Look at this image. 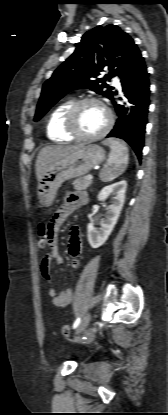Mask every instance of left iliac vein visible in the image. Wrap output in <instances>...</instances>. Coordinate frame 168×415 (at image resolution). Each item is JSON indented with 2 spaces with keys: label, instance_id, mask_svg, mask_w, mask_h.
<instances>
[{
  "label": "left iliac vein",
  "instance_id": "obj_1",
  "mask_svg": "<svg viewBox=\"0 0 168 415\" xmlns=\"http://www.w3.org/2000/svg\"><path fill=\"white\" fill-rule=\"evenodd\" d=\"M90 321H91V313H87L81 320L80 324L78 325L76 334H80L81 332H83L89 325Z\"/></svg>",
  "mask_w": 168,
  "mask_h": 415
}]
</instances>
